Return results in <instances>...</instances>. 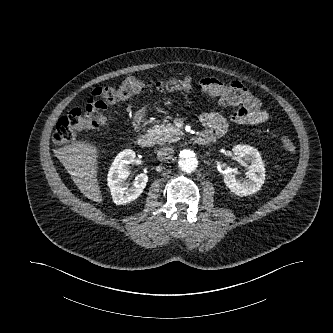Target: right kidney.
Listing matches in <instances>:
<instances>
[{"mask_svg": "<svg viewBox=\"0 0 333 333\" xmlns=\"http://www.w3.org/2000/svg\"><path fill=\"white\" fill-rule=\"evenodd\" d=\"M135 152L124 150L114 159L107 177V183L113 201L117 205L127 204L136 200L145 188L148 176L144 173L138 174L132 185L125 182L128 177L130 164L134 162Z\"/></svg>", "mask_w": 333, "mask_h": 333, "instance_id": "ca27d5eb", "label": "right kidney"}]
</instances>
